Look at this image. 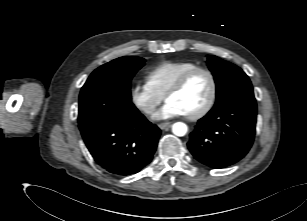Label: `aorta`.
Returning <instances> with one entry per match:
<instances>
[{
	"mask_svg": "<svg viewBox=\"0 0 307 221\" xmlns=\"http://www.w3.org/2000/svg\"><path fill=\"white\" fill-rule=\"evenodd\" d=\"M188 131V127L185 123L176 122L172 125V132L176 136H184Z\"/></svg>",
	"mask_w": 307,
	"mask_h": 221,
	"instance_id": "aorta-1",
	"label": "aorta"
}]
</instances>
